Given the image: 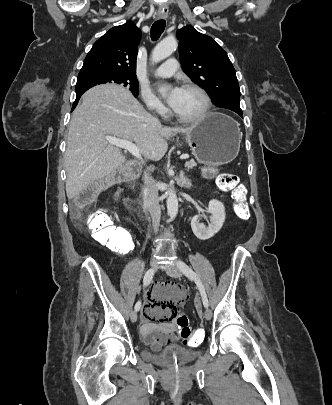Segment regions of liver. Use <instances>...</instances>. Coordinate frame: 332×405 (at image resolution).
I'll return each mask as SVG.
<instances>
[{
  "label": "liver",
  "instance_id": "1",
  "mask_svg": "<svg viewBox=\"0 0 332 405\" xmlns=\"http://www.w3.org/2000/svg\"><path fill=\"white\" fill-rule=\"evenodd\" d=\"M193 126L163 127L121 86L105 84L89 89L69 124L65 152L68 199L115 172L126 161L106 136L134 142L146 159L157 161L167 152L169 138L190 132Z\"/></svg>",
  "mask_w": 332,
  "mask_h": 405
}]
</instances>
